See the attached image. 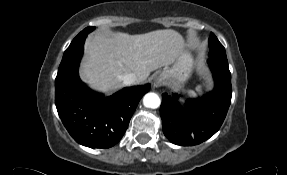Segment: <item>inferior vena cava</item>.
<instances>
[{
  "mask_svg": "<svg viewBox=\"0 0 287 175\" xmlns=\"http://www.w3.org/2000/svg\"><path fill=\"white\" fill-rule=\"evenodd\" d=\"M125 85H131L137 82V76L133 73H128L122 78Z\"/></svg>",
  "mask_w": 287,
  "mask_h": 175,
  "instance_id": "obj_1",
  "label": "inferior vena cava"
}]
</instances>
